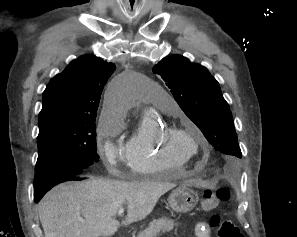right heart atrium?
Masks as SVG:
<instances>
[{
	"label": "right heart atrium",
	"instance_id": "d8ad5b80",
	"mask_svg": "<svg viewBox=\"0 0 297 237\" xmlns=\"http://www.w3.org/2000/svg\"><path fill=\"white\" fill-rule=\"evenodd\" d=\"M121 128L116 113L109 108L104 109L97 127V146L105 165L112 171L125 159V146L118 138Z\"/></svg>",
	"mask_w": 297,
	"mask_h": 237
}]
</instances>
